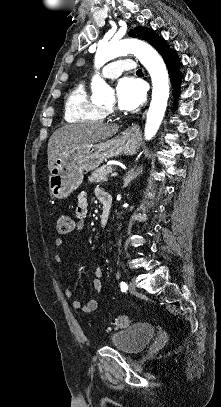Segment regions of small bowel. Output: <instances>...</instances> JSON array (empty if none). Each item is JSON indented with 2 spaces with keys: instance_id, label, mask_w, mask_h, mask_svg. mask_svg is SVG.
I'll return each mask as SVG.
<instances>
[{
  "instance_id": "small-bowel-1",
  "label": "small bowel",
  "mask_w": 221,
  "mask_h": 407,
  "mask_svg": "<svg viewBox=\"0 0 221 407\" xmlns=\"http://www.w3.org/2000/svg\"><path fill=\"white\" fill-rule=\"evenodd\" d=\"M105 193H108V192L101 188L96 190V196L100 202H101L103 196L105 195ZM75 215H76V222L74 224V231H81L85 227L86 218L88 215V201H87V194L85 191L81 192L78 196V204H77V208L75 211ZM62 243H63V239L60 237L55 240V245L57 247H60L62 245ZM55 260L57 262H60L61 257L58 255L55 257ZM103 277H104L103 269L100 267L95 268L93 271L92 284H93L95 291H97V292H101L103 289V283H102ZM65 295L68 298H73L74 292L71 289H66ZM98 305H99V303H98V300H96V299H91V300L87 301L85 304H82L79 300L73 301V307L75 309L81 311L82 313H90L92 311H95L98 308Z\"/></svg>"
}]
</instances>
